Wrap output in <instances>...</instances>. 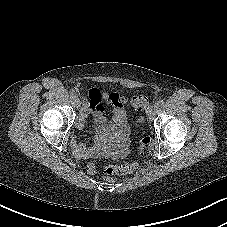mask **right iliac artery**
I'll use <instances>...</instances> for the list:
<instances>
[{"label": "right iliac artery", "mask_w": 227, "mask_h": 227, "mask_svg": "<svg viewBox=\"0 0 227 227\" xmlns=\"http://www.w3.org/2000/svg\"><path fill=\"white\" fill-rule=\"evenodd\" d=\"M70 97H71L72 99L77 98L76 94H75V93H73V92L71 93Z\"/></svg>", "instance_id": "1"}]
</instances>
